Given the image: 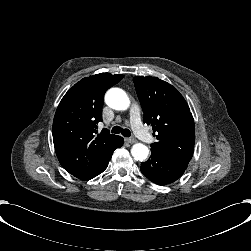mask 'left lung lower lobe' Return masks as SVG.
I'll use <instances>...</instances> for the list:
<instances>
[{
    "instance_id": "0a47b994",
    "label": "left lung lower lobe",
    "mask_w": 251,
    "mask_h": 251,
    "mask_svg": "<svg viewBox=\"0 0 251 251\" xmlns=\"http://www.w3.org/2000/svg\"><path fill=\"white\" fill-rule=\"evenodd\" d=\"M189 162L175 160L151 150V156L141 163L140 170L144 176L158 185H167L179 179Z\"/></svg>"
}]
</instances>
